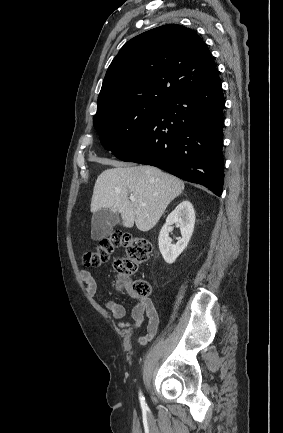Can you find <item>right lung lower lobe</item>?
<instances>
[{
	"mask_svg": "<svg viewBox=\"0 0 283 433\" xmlns=\"http://www.w3.org/2000/svg\"><path fill=\"white\" fill-rule=\"evenodd\" d=\"M223 109L218 77L165 103L130 146L115 156L156 166L220 196L224 182Z\"/></svg>",
	"mask_w": 283,
	"mask_h": 433,
	"instance_id": "obj_1",
	"label": "right lung lower lobe"
}]
</instances>
